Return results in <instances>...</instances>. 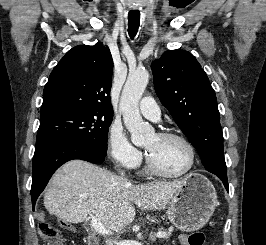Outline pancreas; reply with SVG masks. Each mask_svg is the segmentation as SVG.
<instances>
[{
    "mask_svg": "<svg viewBox=\"0 0 266 245\" xmlns=\"http://www.w3.org/2000/svg\"><path fill=\"white\" fill-rule=\"evenodd\" d=\"M158 233H165V237H163V239H169V237H171L172 231H161V229H159Z\"/></svg>",
    "mask_w": 266,
    "mask_h": 245,
    "instance_id": "obj_1",
    "label": "pancreas"
}]
</instances>
